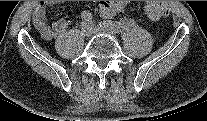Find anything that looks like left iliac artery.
<instances>
[{"label": "left iliac artery", "instance_id": "1", "mask_svg": "<svg viewBox=\"0 0 207 121\" xmlns=\"http://www.w3.org/2000/svg\"><path fill=\"white\" fill-rule=\"evenodd\" d=\"M100 27L108 28L112 30L114 33H120L124 30H127L131 27V23L129 22H113V21H102L99 23Z\"/></svg>", "mask_w": 207, "mask_h": 121}]
</instances>
